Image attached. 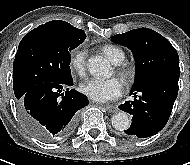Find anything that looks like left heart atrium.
<instances>
[{
  "label": "left heart atrium",
  "mask_w": 190,
  "mask_h": 165,
  "mask_svg": "<svg viewBox=\"0 0 190 165\" xmlns=\"http://www.w3.org/2000/svg\"><path fill=\"white\" fill-rule=\"evenodd\" d=\"M80 91L94 101L107 102L118 98L124 86L116 77L106 80L93 78L81 84Z\"/></svg>",
  "instance_id": "left-heart-atrium-1"
}]
</instances>
